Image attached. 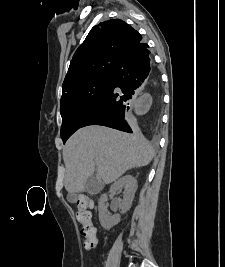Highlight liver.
<instances>
[{"label": "liver", "instance_id": "liver-1", "mask_svg": "<svg viewBox=\"0 0 225 267\" xmlns=\"http://www.w3.org/2000/svg\"><path fill=\"white\" fill-rule=\"evenodd\" d=\"M153 157L152 146L140 133L127 134L97 125L83 127L63 149L65 188L69 194L85 190L95 167L97 178L109 184L131 168L148 165Z\"/></svg>", "mask_w": 225, "mask_h": 267}]
</instances>
